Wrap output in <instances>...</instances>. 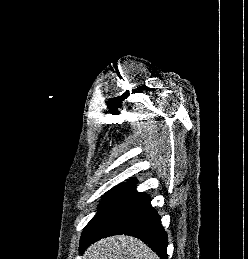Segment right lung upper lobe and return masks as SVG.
Masks as SVG:
<instances>
[{
    "label": "right lung upper lobe",
    "instance_id": "obj_1",
    "mask_svg": "<svg viewBox=\"0 0 248 259\" xmlns=\"http://www.w3.org/2000/svg\"><path fill=\"white\" fill-rule=\"evenodd\" d=\"M136 183H137V182H136V180H135V179H130L128 182L123 183V184H127V185L134 186Z\"/></svg>",
    "mask_w": 248,
    "mask_h": 259
}]
</instances>
